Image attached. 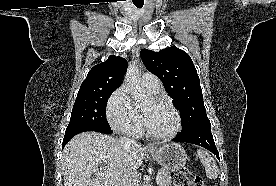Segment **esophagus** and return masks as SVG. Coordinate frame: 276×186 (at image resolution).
<instances>
[{"label":"esophagus","mask_w":276,"mask_h":186,"mask_svg":"<svg viewBox=\"0 0 276 186\" xmlns=\"http://www.w3.org/2000/svg\"><path fill=\"white\" fill-rule=\"evenodd\" d=\"M147 148H152L153 146L151 144H147Z\"/></svg>","instance_id":"esophagus-1"}]
</instances>
